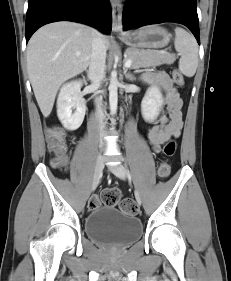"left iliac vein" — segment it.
Returning a JSON list of instances; mask_svg holds the SVG:
<instances>
[{"mask_svg": "<svg viewBox=\"0 0 231 281\" xmlns=\"http://www.w3.org/2000/svg\"><path fill=\"white\" fill-rule=\"evenodd\" d=\"M109 168L118 178H120L122 180L126 179L127 171L122 164L118 163L115 165H110ZM135 198H136L137 203L139 205H141L142 199H141V196L138 191L135 192Z\"/></svg>", "mask_w": 231, "mask_h": 281, "instance_id": "4c4485c4", "label": "left iliac vein"}]
</instances>
